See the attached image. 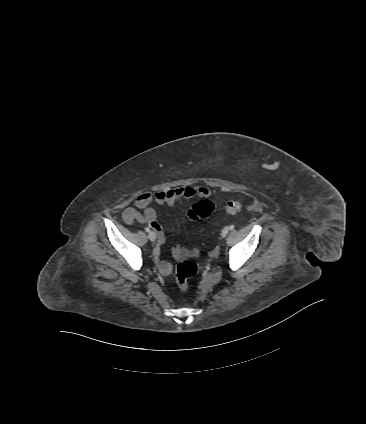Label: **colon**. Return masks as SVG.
I'll list each match as a JSON object with an SVG mask.
<instances>
[{
  "label": "colon",
  "instance_id": "colon-1",
  "mask_svg": "<svg viewBox=\"0 0 366 424\" xmlns=\"http://www.w3.org/2000/svg\"><path fill=\"white\" fill-rule=\"evenodd\" d=\"M242 204V199L229 202L226 206V212L229 214L237 213L240 211ZM213 209V203L210 200L204 199L192 205L188 209L187 215L191 220H200L211 215ZM192 254H196V251H193ZM196 272L197 264L190 259H184L176 266V283L181 291L185 292L188 290L189 279L195 275Z\"/></svg>",
  "mask_w": 366,
  "mask_h": 424
}]
</instances>
